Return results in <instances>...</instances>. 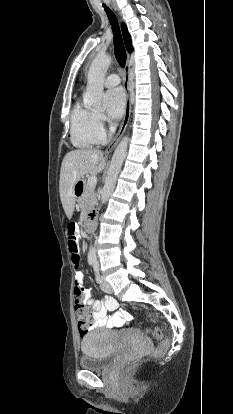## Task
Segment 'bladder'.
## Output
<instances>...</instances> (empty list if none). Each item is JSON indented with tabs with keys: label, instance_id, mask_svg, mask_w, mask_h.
<instances>
[{
	"label": "bladder",
	"instance_id": "obj_1",
	"mask_svg": "<svg viewBox=\"0 0 233 414\" xmlns=\"http://www.w3.org/2000/svg\"><path fill=\"white\" fill-rule=\"evenodd\" d=\"M117 335V331L101 328L84 334L81 341L83 355L79 360L80 367L91 371L108 369L119 351L116 344ZM138 338L145 346H151L148 339L140 335Z\"/></svg>",
	"mask_w": 233,
	"mask_h": 414
}]
</instances>
